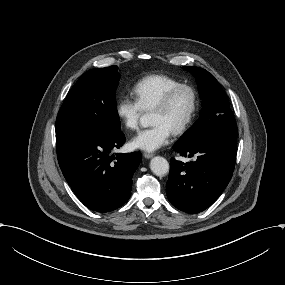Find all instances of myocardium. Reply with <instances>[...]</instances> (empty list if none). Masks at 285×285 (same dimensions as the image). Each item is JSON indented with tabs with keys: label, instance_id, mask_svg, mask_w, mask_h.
Returning a JSON list of instances; mask_svg holds the SVG:
<instances>
[{
	"label": "myocardium",
	"instance_id": "1",
	"mask_svg": "<svg viewBox=\"0 0 285 285\" xmlns=\"http://www.w3.org/2000/svg\"><path fill=\"white\" fill-rule=\"evenodd\" d=\"M181 89H187L190 92L191 105L186 116L173 126L172 131L176 133L183 131L195 116L199 104V94L195 86L190 83H178L170 88L153 107V109H167L171 105L176 93Z\"/></svg>",
	"mask_w": 285,
	"mask_h": 285
}]
</instances>
